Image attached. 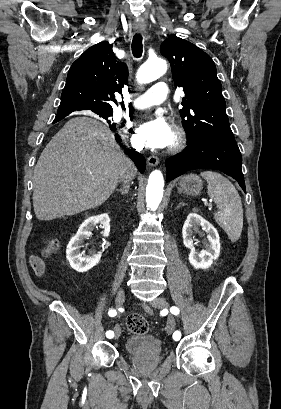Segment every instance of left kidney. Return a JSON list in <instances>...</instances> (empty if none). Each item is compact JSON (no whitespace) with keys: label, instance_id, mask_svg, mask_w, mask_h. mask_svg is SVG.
Instances as JSON below:
<instances>
[{"label":"left kidney","instance_id":"left-kidney-1","mask_svg":"<svg viewBox=\"0 0 281 409\" xmlns=\"http://www.w3.org/2000/svg\"><path fill=\"white\" fill-rule=\"evenodd\" d=\"M198 227L204 229L208 239L205 249L200 251V253H197L193 245V233ZM182 237L185 247L190 249L189 263L193 265L194 269H208V267H211L213 261L218 259L220 255L219 235L211 223H208L206 219L198 215L197 209H194L193 213H189L183 225Z\"/></svg>","mask_w":281,"mask_h":409}]
</instances>
